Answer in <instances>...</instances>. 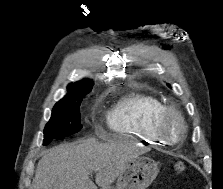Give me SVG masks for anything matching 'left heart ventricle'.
<instances>
[{
	"mask_svg": "<svg viewBox=\"0 0 223 189\" xmlns=\"http://www.w3.org/2000/svg\"><path fill=\"white\" fill-rule=\"evenodd\" d=\"M181 124L177 119H171L168 124V134L172 139H177L181 135Z\"/></svg>",
	"mask_w": 223,
	"mask_h": 189,
	"instance_id": "left-heart-ventricle-1",
	"label": "left heart ventricle"
}]
</instances>
